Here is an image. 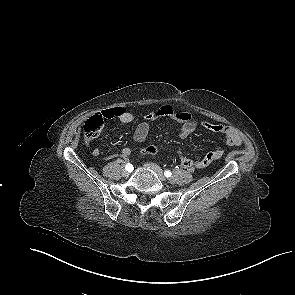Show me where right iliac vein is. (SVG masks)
<instances>
[{
    "label": "right iliac vein",
    "mask_w": 295,
    "mask_h": 295,
    "mask_svg": "<svg viewBox=\"0 0 295 295\" xmlns=\"http://www.w3.org/2000/svg\"><path fill=\"white\" fill-rule=\"evenodd\" d=\"M122 175H123L124 177H128V176L130 175V173H129V171H127V170L125 169V170H123Z\"/></svg>",
    "instance_id": "right-iliac-vein-1"
}]
</instances>
